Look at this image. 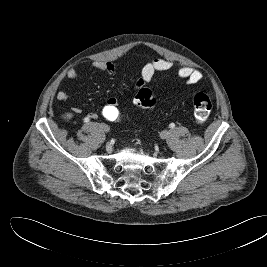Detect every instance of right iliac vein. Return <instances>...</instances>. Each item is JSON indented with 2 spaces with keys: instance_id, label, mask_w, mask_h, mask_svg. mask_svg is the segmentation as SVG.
<instances>
[{
  "instance_id": "63e3f726",
  "label": "right iliac vein",
  "mask_w": 267,
  "mask_h": 267,
  "mask_svg": "<svg viewBox=\"0 0 267 267\" xmlns=\"http://www.w3.org/2000/svg\"><path fill=\"white\" fill-rule=\"evenodd\" d=\"M100 127L102 128L103 131L109 132V127L106 124H101Z\"/></svg>"
}]
</instances>
